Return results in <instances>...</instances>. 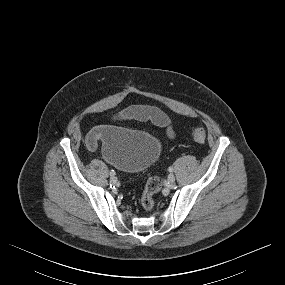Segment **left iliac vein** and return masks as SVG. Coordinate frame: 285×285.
Masks as SVG:
<instances>
[{
  "label": "left iliac vein",
  "instance_id": "obj_1",
  "mask_svg": "<svg viewBox=\"0 0 285 285\" xmlns=\"http://www.w3.org/2000/svg\"><path fill=\"white\" fill-rule=\"evenodd\" d=\"M167 179L169 183L173 184L175 182L174 174H169Z\"/></svg>",
  "mask_w": 285,
  "mask_h": 285
}]
</instances>
